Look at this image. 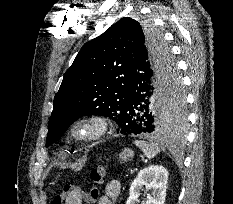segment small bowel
<instances>
[{"label": "small bowel", "instance_id": "small-bowel-1", "mask_svg": "<svg viewBox=\"0 0 233 204\" xmlns=\"http://www.w3.org/2000/svg\"><path fill=\"white\" fill-rule=\"evenodd\" d=\"M120 182L117 180H112L108 182L104 189V194L100 197L98 204H115L116 200L120 195ZM89 199H86L85 202H89Z\"/></svg>", "mask_w": 233, "mask_h": 204}]
</instances>
